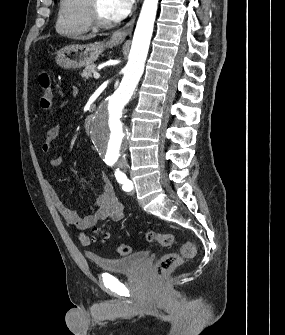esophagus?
<instances>
[{
    "mask_svg": "<svg viewBox=\"0 0 285 335\" xmlns=\"http://www.w3.org/2000/svg\"><path fill=\"white\" fill-rule=\"evenodd\" d=\"M135 15L131 18V20L122 28H119L118 30H115V32L112 34V38L123 40L129 35L134 27L135 23Z\"/></svg>",
    "mask_w": 285,
    "mask_h": 335,
    "instance_id": "esophagus-1",
    "label": "esophagus"
}]
</instances>
